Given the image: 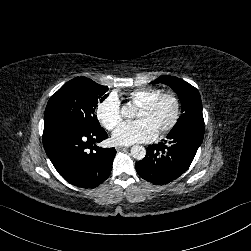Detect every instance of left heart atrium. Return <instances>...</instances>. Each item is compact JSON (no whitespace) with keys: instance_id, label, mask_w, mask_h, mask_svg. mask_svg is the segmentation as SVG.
Instances as JSON below:
<instances>
[{"instance_id":"left-heart-atrium-1","label":"left heart atrium","mask_w":251,"mask_h":251,"mask_svg":"<svg viewBox=\"0 0 251 251\" xmlns=\"http://www.w3.org/2000/svg\"><path fill=\"white\" fill-rule=\"evenodd\" d=\"M159 128L149 118L136 122H124L113 133V141L119 145L151 142L158 136Z\"/></svg>"}]
</instances>
